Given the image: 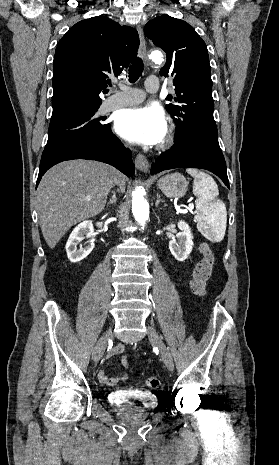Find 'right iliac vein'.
I'll return each mask as SVG.
<instances>
[{"label":"right iliac vein","instance_id":"63e3f726","mask_svg":"<svg viewBox=\"0 0 279 465\" xmlns=\"http://www.w3.org/2000/svg\"><path fill=\"white\" fill-rule=\"evenodd\" d=\"M111 337H112V331L108 330L98 341L97 346H96V351L93 356V360L95 363L99 362V360L103 356V353L107 346V342Z\"/></svg>","mask_w":279,"mask_h":465}]
</instances>
